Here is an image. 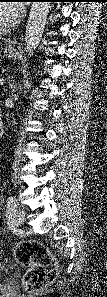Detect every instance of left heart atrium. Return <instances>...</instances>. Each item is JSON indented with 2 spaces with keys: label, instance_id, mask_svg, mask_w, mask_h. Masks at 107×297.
I'll return each instance as SVG.
<instances>
[{
  "label": "left heart atrium",
  "instance_id": "39dd6f15",
  "mask_svg": "<svg viewBox=\"0 0 107 297\" xmlns=\"http://www.w3.org/2000/svg\"><path fill=\"white\" fill-rule=\"evenodd\" d=\"M23 13V6L21 4H16L12 6L10 10L11 21L17 20Z\"/></svg>",
  "mask_w": 107,
  "mask_h": 297
}]
</instances>
